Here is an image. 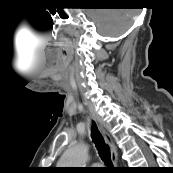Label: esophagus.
<instances>
[{
	"mask_svg": "<svg viewBox=\"0 0 173 173\" xmlns=\"http://www.w3.org/2000/svg\"><path fill=\"white\" fill-rule=\"evenodd\" d=\"M99 129L101 130L106 142L110 146L112 163H113L114 166H117L118 156H117L116 146H115L111 136L105 131V129L100 124H99Z\"/></svg>",
	"mask_w": 173,
	"mask_h": 173,
	"instance_id": "34e87169",
	"label": "esophagus"
}]
</instances>
